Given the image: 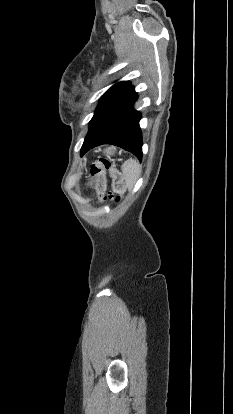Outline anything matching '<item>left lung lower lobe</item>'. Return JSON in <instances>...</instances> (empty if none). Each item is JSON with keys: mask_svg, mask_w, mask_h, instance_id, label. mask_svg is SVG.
<instances>
[{"mask_svg": "<svg viewBox=\"0 0 233 414\" xmlns=\"http://www.w3.org/2000/svg\"><path fill=\"white\" fill-rule=\"evenodd\" d=\"M137 93L130 86L101 98L89 131L81 148V155L102 144L119 146L142 160L141 113L134 109Z\"/></svg>", "mask_w": 233, "mask_h": 414, "instance_id": "left-lung-lower-lobe-1", "label": "left lung lower lobe"}]
</instances>
